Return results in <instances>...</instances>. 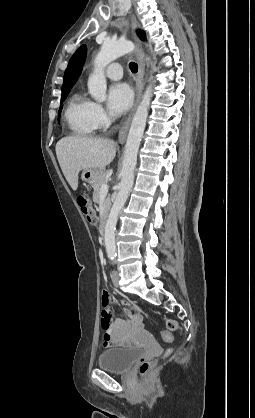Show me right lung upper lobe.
Here are the masks:
<instances>
[{
    "label": "right lung upper lobe",
    "mask_w": 255,
    "mask_h": 418,
    "mask_svg": "<svg viewBox=\"0 0 255 418\" xmlns=\"http://www.w3.org/2000/svg\"><path fill=\"white\" fill-rule=\"evenodd\" d=\"M86 58V46L82 45L71 57L64 73L62 91L71 89L81 74Z\"/></svg>",
    "instance_id": "obj_1"
}]
</instances>
